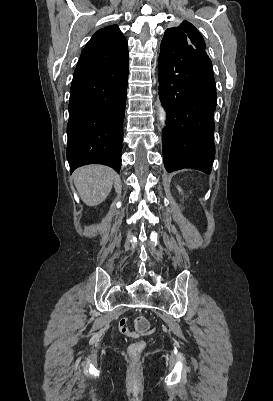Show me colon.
Here are the masks:
<instances>
[{"label": "colon", "instance_id": "1", "mask_svg": "<svg viewBox=\"0 0 273 401\" xmlns=\"http://www.w3.org/2000/svg\"><path fill=\"white\" fill-rule=\"evenodd\" d=\"M136 325V333L143 334L149 330L147 321L145 319H138L135 322ZM147 346V340L144 337L139 338L138 340H129L127 349H124L123 355L124 358H141L142 353H145ZM129 378L132 381H137L140 378L139 369L134 367L131 369Z\"/></svg>", "mask_w": 273, "mask_h": 401}]
</instances>
